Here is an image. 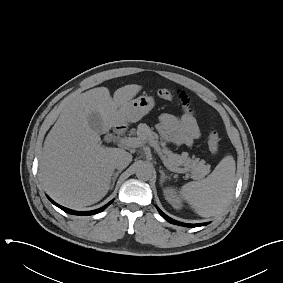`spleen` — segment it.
<instances>
[{"instance_id":"3e777b00","label":"spleen","mask_w":283,"mask_h":283,"mask_svg":"<svg viewBox=\"0 0 283 283\" xmlns=\"http://www.w3.org/2000/svg\"><path fill=\"white\" fill-rule=\"evenodd\" d=\"M235 170L233 156L227 155L208 177L183 185L180 195L198 215L206 218L216 216L233 195Z\"/></svg>"}]
</instances>
